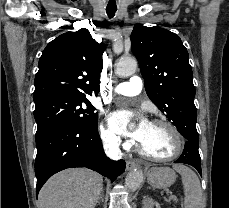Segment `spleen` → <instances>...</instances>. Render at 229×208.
I'll return each instance as SVG.
<instances>
[{"mask_svg":"<svg viewBox=\"0 0 229 208\" xmlns=\"http://www.w3.org/2000/svg\"><path fill=\"white\" fill-rule=\"evenodd\" d=\"M173 170H176L182 178L185 208H202L201 184L195 172L187 166H181V164H174Z\"/></svg>","mask_w":229,"mask_h":208,"instance_id":"obj_1","label":"spleen"}]
</instances>
